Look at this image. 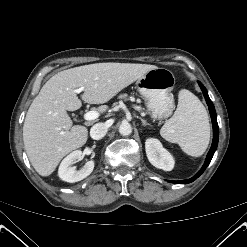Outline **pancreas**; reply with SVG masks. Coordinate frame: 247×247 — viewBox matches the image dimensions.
Segmentation results:
<instances>
[{
  "instance_id": "obj_1",
  "label": "pancreas",
  "mask_w": 247,
  "mask_h": 247,
  "mask_svg": "<svg viewBox=\"0 0 247 247\" xmlns=\"http://www.w3.org/2000/svg\"><path fill=\"white\" fill-rule=\"evenodd\" d=\"M127 97V94H122L120 95V98L123 99V98H126Z\"/></svg>"
}]
</instances>
